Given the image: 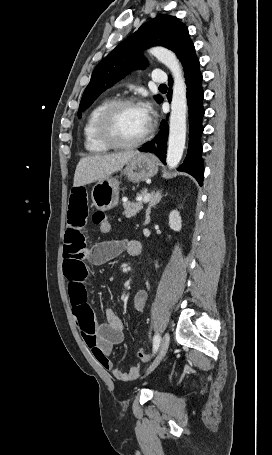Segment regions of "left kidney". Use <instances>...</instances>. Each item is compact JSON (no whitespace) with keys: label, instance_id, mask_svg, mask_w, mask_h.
I'll use <instances>...</instances> for the list:
<instances>
[{"label":"left kidney","instance_id":"left-kidney-1","mask_svg":"<svg viewBox=\"0 0 272 455\" xmlns=\"http://www.w3.org/2000/svg\"><path fill=\"white\" fill-rule=\"evenodd\" d=\"M169 226L174 231H180L182 227L181 216L177 210H173L169 215Z\"/></svg>","mask_w":272,"mask_h":455}]
</instances>
